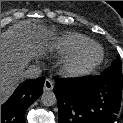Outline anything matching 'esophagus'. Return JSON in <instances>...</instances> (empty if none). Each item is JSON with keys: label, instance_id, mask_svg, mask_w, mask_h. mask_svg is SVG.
Masks as SVG:
<instances>
[{"label": "esophagus", "instance_id": "obj_1", "mask_svg": "<svg viewBox=\"0 0 123 123\" xmlns=\"http://www.w3.org/2000/svg\"><path fill=\"white\" fill-rule=\"evenodd\" d=\"M54 87L53 81L50 78H47L44 82V90L51 91Z\"/></svg>", "mask_w": 123, "mask_h": 123}]
</instances>
